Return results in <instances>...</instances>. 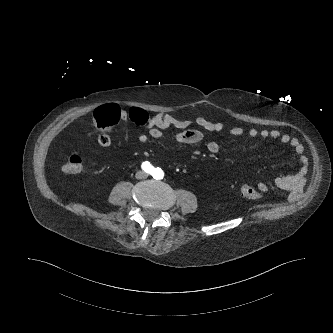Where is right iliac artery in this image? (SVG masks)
I'll return each instance as SVG.
<instances>
[{"instance_id": "82829eb1", "label": "right iliac artery", "mask_w": 333, "mask_h": 333, "mask_svg": "<svg viewBox=\"0 0 333 333\" xmlns=\"http://www.w3.org/2000/svg\"><path fill=\"white\" fill-rule=\"evenodd\" d=\"M142 170H144V172L148 173V174H152L155 171V168L152 164H150V162L145 161L142 163L141 165Z\"/></svg>"}]
</instances>
